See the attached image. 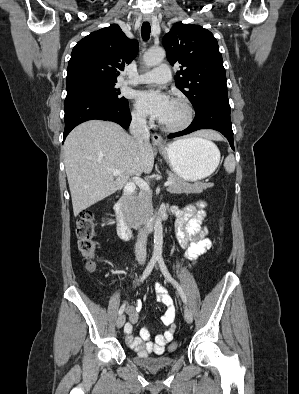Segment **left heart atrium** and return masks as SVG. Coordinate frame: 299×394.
<instances>
[{"mask_svg": "<svg viewBox=\"0 0 299 394\" xmlns=\"http://www.w3.org/2000/svg\"><path fill=\"white\" fill-rule=\"evenodd\" d=\"M172 102L167 94L157 90H144L136 94V106L160 121L168 114Z\"/></svg>", "mask_w": 299, "mask_h": 394, "instance_id": "obj_1", "label": "left heart atrium"}]
</instances>
